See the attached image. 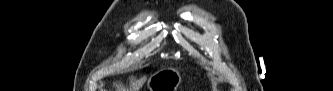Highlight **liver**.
<instances>
[{"label":"liver","mask_w":333,"mask_h":91,"mask_svg":"<svg viewBox=\"0 0 333 91\" xmlns=\"http://www.w3.org/2000/svg\"><path fill=\"white\" fill-rule=\"evenodd\" d=\"M146 81V76L141 77L140 79L136 80V78H131L130 81V90L128 88L118 85L117 91H139L140 88L143 86V84Z\"/></svg>","instance_id":"6515ba94"}]
</instances>
